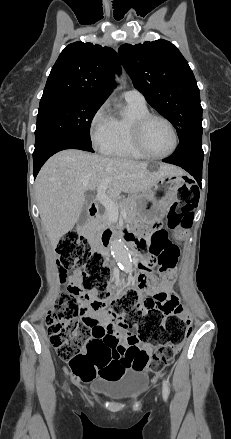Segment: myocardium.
<instances>
[{
	"mask_svg": "<svg viewBox=\"0 0 231 439\" xmlns=\"http://www.w3.org/2000/svg\"><path fill=\"white\" fill-rule=\"evenodd\" d=\"M153 119H159V120L164 121L171 129L174 142H173V146L170 149V151H168L165 154H161V155L153 154L148 150V148L145 145L144 131H145V128L148 125V123ZM132 137H133L134 145L137 148V150L142 155H144L145 157L150 158V159H164V158L171 156L176 151L178 144H179L178 132H177V129H176L175 125L173 124V122L169 118H167L166 116H164L162 114H158V113H150L149 112V113L143 115L142 117L138 118L134 122V125H133Z\"/></svg>",
	"mask_w": 231,
	"mask_h": 439,
	"instance_id": "obj_1",
	"label": "myocardium"
}]
</instances>
